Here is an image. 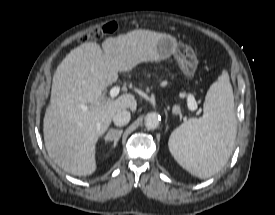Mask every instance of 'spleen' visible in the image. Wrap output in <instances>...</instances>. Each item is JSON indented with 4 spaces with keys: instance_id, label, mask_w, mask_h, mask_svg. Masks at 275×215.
Wrapping results in <instances>:
<instances>
[{
    "instance_id": "spleen-1",
    "label": "spleen",
    "mask_w": 275,
    "mask_h": 215,
    "mask_svg": "<svg viewBox=\"0 0 275 215\" xmlns=\"http://www.w3.org/2000/svg\"><path fill=\"white\" fill-rule=\"evenodd\" d=\"M237 121L227 71H223L206 95L204 114L175 129L169 149L175 160L192 175L206 179L220 171L235 144Z\"/></svg>"
}]
</instances>
